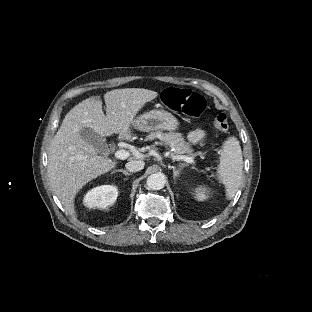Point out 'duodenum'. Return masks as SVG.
<instances>
[{"label": "duodenum", "instance_id": "1", "mask_svg": "<svg viewBox=\"0 0 312 312\" xmlns=\"http://www.w3.org/2000/svg\"><path fill=\"white\" fill-rule=\"evenodd\" d=\"M124 139V136L120 137V140H123Z\"/></svg>", "mask_w": 312, "mask_h": 312}]
</instances>
